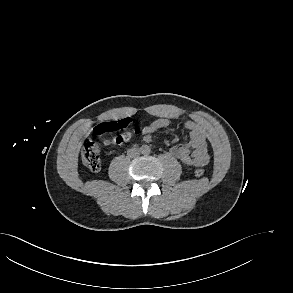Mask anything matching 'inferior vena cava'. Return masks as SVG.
Listing matches in <instances>:
<instances>
[{"mask_svg":"<svg viewBox=\"0 0 293 293\" xmlns=\"http://www.w3.org/2000/svg\"><path fill=\"white\" fill-rule=\"evenodd\" d=\"M140 154V151L138 148H131L128 150L127 155L131 158L136 157Z\"/></svg>","mask_w":293,"mask_h":293,"instance_id":"602c4592","label":"inferior vena cava"}]
</instances>
